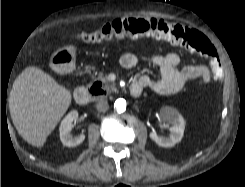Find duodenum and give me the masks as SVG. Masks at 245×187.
Returning <instances> with one entry per match:
<instances>
[{"instance_id": "410a0bca", "label": "duodenum", "mask_w": 245, "mask_h": 187, "mask_svg": "<svg viewBox=\"0 0 245 187\" xmlns=\"http://www.w3.org/2000/svg\"><path fill=\"white\" fill-rule=\"evenodd\" d=\"M130 92L133 96H138L140 94V88L136 85L130 87ZM100 87H78L74 92V100L76 103L83 105L86 104L92 96H100Z\"/></svg>"}]
</instances>
